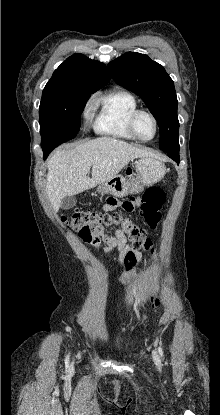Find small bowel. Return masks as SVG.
Here are the masks:
<instances>
[{"label": "small bowel", "instance_id": "1", "mask_svg": "<svg viewBox=\"0 0 220 415\" xmlns=\"http://www.w3.org/2000/svg\"><path fill=\"white\" fill-rule=\"evenodd\" d=\"M131 202V201H130ZM132 203V202H131ZM106 209H113V207L106 205ZM133 203L130 208H126L125 210L128 212L133 211ZM79 236L81 240L87 244L94 246L95 248L99 249L101 242L106 244V247L100 250L101 254H111V253H119L121 256L125 255L127 252L132 251V248L128 245L127 237L122 229L117 228L114 231V234H108L104 231V229L90 231L87 234L79 231ZM143 320L146 319L144 315Z\"/></svg>", "mask_w": 220, "mask_h": 415}]
</instances>
